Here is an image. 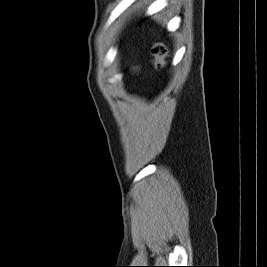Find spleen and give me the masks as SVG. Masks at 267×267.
<instances>
[{
	"label": "spleen",
	"mask_w": 267,
	"mask_h": 267,
	"mask_svg": "<svg viewBox=\"0 0 267 267\" xmlns=\"http://www.w3.org/2000/svg\"><path fill=\"white\" fill-rule=\"evenodd\" d=\"M156 20L160 23H162V18H160L159 16H155Z\"/></svg>",
	"instance_id": "1"
}]
</instances>
